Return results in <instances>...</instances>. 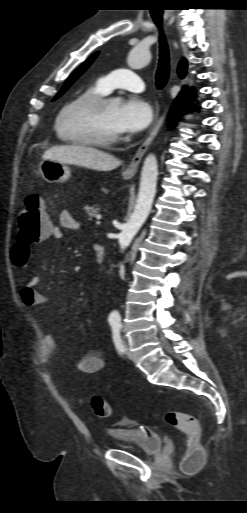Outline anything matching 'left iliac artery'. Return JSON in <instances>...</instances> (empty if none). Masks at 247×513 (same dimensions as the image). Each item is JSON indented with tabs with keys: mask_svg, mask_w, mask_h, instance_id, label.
Returning <instances> with one entry per match:
<instances>
[{
	"mask_svg": "<svg viewBox=\"0 0 247 513\" xmlns=\"http://www.w3.org/2000/svg\"><path fill=\"white\" fill-rule=\"evenodd\" d=\"M121 327H122V325L120 322L113 324L112 325V335H113V341H114L116 349L119 352L123 353L125 351V349H124V345L122 343L121 336H120Z\"/></svg>",
	"mask_w": 247,
	"mask_h": 513,
	"instance_id": "left-iliac-artery-1",
	"label": "left iliac artery"
}]
</instances>
